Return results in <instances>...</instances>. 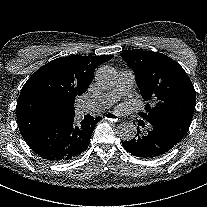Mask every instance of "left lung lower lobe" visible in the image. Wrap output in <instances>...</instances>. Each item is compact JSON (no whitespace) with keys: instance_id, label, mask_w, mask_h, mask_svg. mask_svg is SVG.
Returning a JSON list of instances; mask_svg holds the SVG:
<instances>
[{"instance_id":"1","label":"left lung lower lobe","mask_w":207,"mask_h":207,"mask_svg":"<svg viewBox=\"0 0 207 207\" xmlns=\"http://www.w3.org/2000/svg\"><path fill=\"white\" fill-rule=\"evenodd\" d=\"M139 125L144 127V122L139 121ZM130 141L122 142L124 149L131 154L142 158H154L165 154L181 141L173 132L158 126L151 125L148 133L139 134Z\"/></svg>"}]
</instances>
